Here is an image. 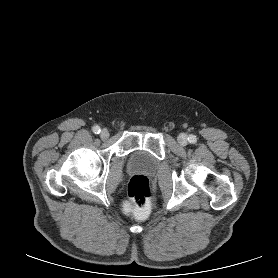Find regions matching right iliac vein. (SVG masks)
<instances>
[{
	"label": "right iliac vein",
	"mask_w": 278,
	"mask_h": 278,
	"mask_svg": "<svg viewBox=\"0 0 278 278\" xmlns=\"http://www.w3.org/2000/svg\"><path fill=\"white\" fill-rule=\"evenodd\" d=\"M100 137H101L103 140L107 139V138L109 137V132H108V130L103 129V130L100 132Z\"/></svg>",
	"instance_id": "63e3f726"
}]
</instances>
